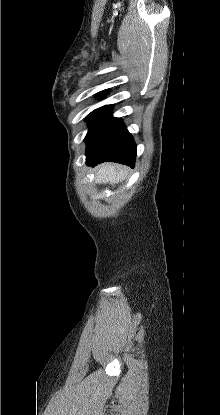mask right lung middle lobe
I'll use <instances>...</instances> for the list:
<instances>
[{"label": "right lung middle lobe", "instance_id": "1", "mask_svg": "<svg viewBox=\"0 0 220 415\" xmlns=\"http://www.w3.org/2000/svg\"><path fill=\"white\" fill-rule=\"evenodd\" d=\"M105 94V91L98 93V96ZM111 105L103 106L91 112L86 120L89 124V130L85 137L87 144L86 151H89L97 142L105 127L108 125L112 116L110 115Z\"/></svg>", "mask_w": 220, "mask_h": 415}]
</instances>
